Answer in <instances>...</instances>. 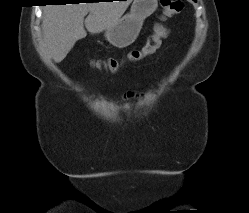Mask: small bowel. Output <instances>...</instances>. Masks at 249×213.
<instances>
[{
	"mask_svg": "<svg viewBox=\"0 0 249 213\" xmlns=\"http://www.w3.org/2000/svg\"><path fill=\"white\" fill-rule=\"evenodd\" d=\"M128 61H138V60H133V59H128ZM146 95L141 92H135V91H128L125 95L126 99H133V98H138V99H144Z\"/></svg>",
	"mask_w": 249,
	"mask_h": 213,
	"instance_id": "1",
	"label": "small bowel"
}]
</instances>
